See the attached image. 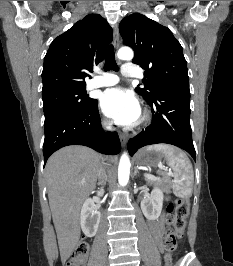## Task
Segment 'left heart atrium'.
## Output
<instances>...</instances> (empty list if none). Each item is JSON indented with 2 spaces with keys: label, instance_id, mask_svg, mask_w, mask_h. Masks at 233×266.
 <instances>
[{
  "label": "left heart atrium",
  "instance_id": "obj_1",
  "mask_svg": "<svg viewBox=\"0 0 233 266\" xmlns=\"http://www.w3.org/2000/svg\"><path fill=\"white\" fill-rule=\"evenodd\" d=\"M101 108L106 116L120 125H133L141 115L139 101L123 88L106 90L101 97Z\"/></svg>",
  "mask_w": 233,
  "mask_h": 266
}]
</instances>
